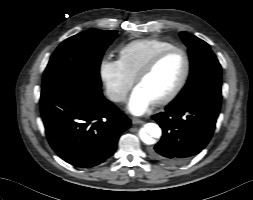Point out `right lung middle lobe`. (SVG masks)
I'll return each mask as SVG.
<instances>
[{
	"mask_svg": "<svg viewBox=\"0 0 253 200\" xmlns=\"http://www.w3.org/2000/svg\"><path fill=\"white\" fill-rule=\"evenodd\" d=\"M116 31L88 30L63 41L52 54L42 88L76 84L101 92L100 62Z\"/></svg>",
	"mask_w": 253,
	"mask_h": 200,
	"instance_id": "1",
	"label": "right lung middle lobe"
}]
</instances>
